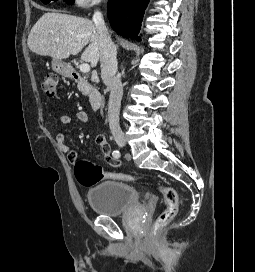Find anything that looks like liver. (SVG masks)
<instances>
[{"label": "liver", "mask_w": 255, "mask_h": 272, "mask_svg": "<svg viewBox=\"0 0 255 272\" xmlns=\"http://www.w3.org/2000/svg\"><path fill=\"white\" fill-rule=\"evenodd\" d=\"M27 44L32 52L41 56L48 55L53 60L77 55L88 45L81 55V60L96 67L100 59L95 24L89 19L68 14L57 12L43 14L31 29Z\"/></svg>", "instance_id": "6515ba94"}]
</instances>
